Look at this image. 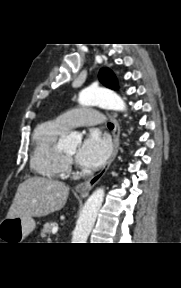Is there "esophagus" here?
Returning a JSON list of instances; mask_svg holds the SVG:
<instances>
[{
  "label": "esophagus",
  "mask_w": 181,
  "mask_h": 288,
  "mask_svg": "<svg viewBox=\"0 0 181 288\" xmlns=\"http://www.w3.org/2000/svg\"><path fill=\"white\" fill-rule=\"evenodd\" d=\"M110 119L114 124V130H113V152L108 159V161L105 163V165L102 167V169L93 177L89 178L87 181L82 182L76 186V191L79 192L82 196H87L90 190L100 181V179L104 176L106 171L108 170L109 166L111 165L112 161L115 159L117 153H118V147H119V137H120V125L116 118L114 116L110 115Z\"/></svg>",
  "instance_id": "34e87169"
}]
</instances>
